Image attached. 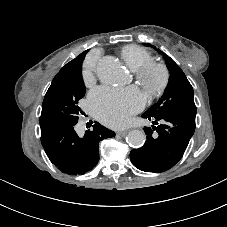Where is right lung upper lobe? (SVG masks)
Masks as SVG:
<instances>
[{
    "mask_svg": "<svg viewBox=\"0 0 227 227\" xmlns=\"http://www.w3.org/2000/svg\"><path fill=\"white\" fill-rule=\"evenodd\" d=\"M86 53L87 52L84 51L83 53L78 55L75 59H73L72 61L67 63L65 66L62 67V69L59 71V73H63V72H66V71L74 69L78 64L81 63V61L83 62Z\"/></svg>",
    "mask_w": 227,
    "mask_h": 227,
    "instance_id": "1",
    "label": "right lung upper lobe"
}]
</instances>
